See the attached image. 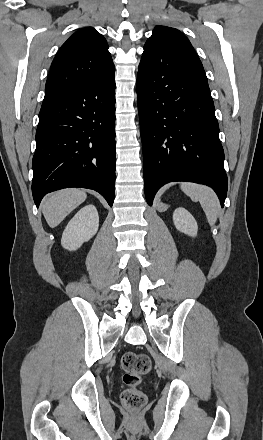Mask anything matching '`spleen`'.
<instances>
[{"label":"spleen","instance_id":"obj_1","mask_svg":"<svg viewBox=\"0 0 263 440\" xmlns=\"http://www.w3.org/2000/svg\"><path fill=\"white\" fill-rule=\"evenodd\" d=\"M180 188L192 201L200 202L208 223L214 225L220 212V203L215 192L210 187L190 182H181Z\"/></svg>","mask_w":263,"mask_h":440}]
</instances>
